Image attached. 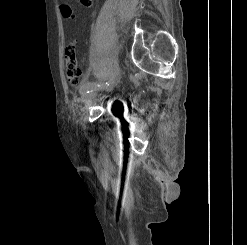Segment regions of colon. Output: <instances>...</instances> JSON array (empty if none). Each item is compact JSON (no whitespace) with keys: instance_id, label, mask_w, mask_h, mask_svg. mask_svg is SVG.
Returning <instances> with one entry per match:
<instances>
[{"instance_id":"obj_1","label":"colon","mask_w":247,"mask_h":245,"mask_svg":"<svg viewBox=\"0 0 247 245\" xmlns=\"http://www.w3.org/2000/svg\"><path fill=\"white\" fill-rule=\"evenodd\" d=\"M65 67L66 77L68 81L76 85L80 81L82 74L80 62L76 54V40L73 38L68 39L65 47Z\"/></svg>"}]
</instances>
